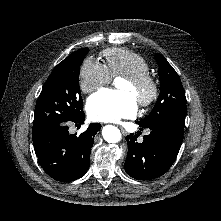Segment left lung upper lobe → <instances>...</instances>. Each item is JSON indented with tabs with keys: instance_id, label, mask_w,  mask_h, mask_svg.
I'll use <instances>...</instances> for the list:
<instances>
[{
	"instance_id": "5c2ea615",
	"label": "left lung upper lobe",
	"mask_w": 221,
	"mask_h": 221,
	"mask_svg": "<svg viewBox=\"0 0 221 221\" xmlns=\"http://www.w3.org/2000/svg\"><path fill=\"white\" fill-rule=\"evenodd\" d=\"M159 66L160 95L151 113L144 119L138 121L142 127L172 116H186V97L181 80L160 54L155 55Z\"/></svg>"
}]
</instances>
